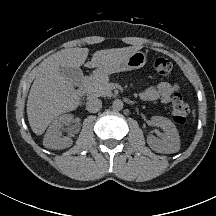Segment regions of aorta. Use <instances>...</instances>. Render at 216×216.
Listing matches in <instances>:
<instances>
[{"mask_svg": "<svg viewBox=\"0 0 216 216\" xmlns=\"http://www.w3.org/2000/svg\"><path fill=\"white\" fill-rule=\"evenodd\" d=\"M112 108L115 111H120L123 108V102L119 99L114 100Z\"/></svg>", "mask_w": 216, "mask_h": 216, "instance_id": "762f6f07", "label": "aorta"}]
</instances>
